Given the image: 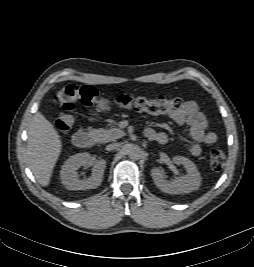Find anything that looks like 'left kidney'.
<instances>
[{"instance_id": "left-kidney-1", "label": "left kidney", "mask_w": 254, "mask_h": 267, "mask_svg": "<svg viewBox=\"0 0 254 267\" xmlns=\"http://www.w3.org/2000/svg\"><path fill=\"white\" fill-rule=\"evenodd\" d=\"M175 164H181L185 167L187 174L180 176L173 181H167L161 170L154 167L151 170V176L155 185L163 192L169 194H184L197 190L201 184V176L195 164L186 157L175 156L173 157Z\"/></svg>"}]
</instances>
